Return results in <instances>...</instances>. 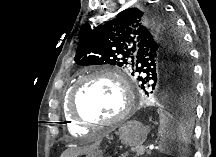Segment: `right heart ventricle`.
<instances>
[{
    "mask_svg": "<svg viewBox=\"0 0 216 157\" xmlns=\"http://www.w3.org/2000/svg\"><path fill=\"white\" fill-rule=\"evenodd\" d=\"M69 94H70V89L66 92L64 103H63L64 118L67 125V129L70 133L74 135H85L88 133L86 128L78 124L77 122H75L68 114L67 103H68Z\"/></svg>",
    "mask_w": 216,
    "mask_h": 157,
    "instance_id": "e07e8e85",
    "label": "right heart ventricle"
}]
</instances>
